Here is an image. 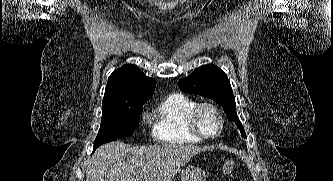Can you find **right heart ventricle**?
Instances as JSON below:
<instances>
[{
  "mask_svg": "<svg viewBox=\"0 0 333 181\" xmlns=\"http://www.w3.org/2000/svg\"><path fill=\"white\" fill-rule=\"evenodd\" d=\"M196 105V101L180 93L166 96L152 111L154 138L169 144L202 142L192 133L188 123L189 114Z\"/></svg>",
  "mask_w": 333,
  "mask_h": 181,
  "instance_id": "right-heart-ventricle-1",
  "label": "right heart ventricle"
}]
</instances>
